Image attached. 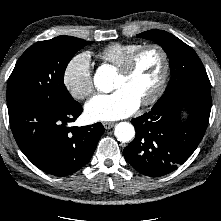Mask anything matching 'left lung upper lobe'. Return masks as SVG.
Returning a JSON list of instances; mask_svg holds the SVG:
<instances>
[{"label":"left lung upper lobe","instance_id":"5c2ea615","mask_svg":"<svg viewBox=\"0 0 221 221\" xmlns=\"http://www.w3.org/2000/svg\"><path fill=\"white\" fill-rule=\"evenodd\" d=\"M161 45L169 57L171 79L165 90H172L189 85H198L211 89L206 70L196 52L174 35L163 30H149L137 35Z\"/></svg>","mask_w":221,"mask_h":221}]
</instances>
